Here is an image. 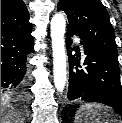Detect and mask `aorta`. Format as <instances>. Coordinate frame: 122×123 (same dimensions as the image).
<instances>
[{"label": "aorta", "instance_id": "1", "mask_svg": "<svg viewBox=\"0 0 122 123\" xmlns=\"http://www.w3.org/2000/svg\"><path fill=\"white\" fill-rule=\"evenodd\" d=\"M66 20L63 14H55L51 20L54 85L62 92L66 84V53L64 34Z\"/></svg>", "mask_w": 122, "mask_h": 123}]
</instances>
